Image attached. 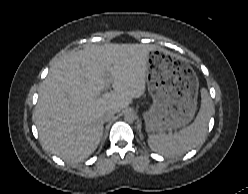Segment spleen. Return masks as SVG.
Segmentation results:
<instances>
[{
  "label": "spleen",
  "mask_w": 248,
  "mask_h": 194,
  "mask_svg": "<svg viewBox=\"0 0 248 194\" xmlns=\"http://www.w3.org/2000/svg\"><path fill=\"white\" fill-rule=\"evenodd\" d=\"M214 106L208 94L201 90V107L194 122L173 135L152 134L148 138L149 147L165 156L182 155L202 143L206 137L207 126Z\"/></svg>",
  "instance_id": "obj_1"
}]
</instances>
